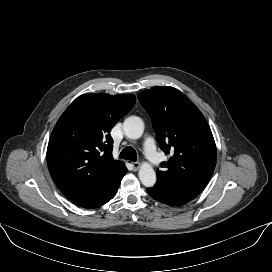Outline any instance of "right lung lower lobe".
I'll return each mask as SVG.
<instances>
[{
    "label": "right lung lower lobe",
    "mask_w": 272,
    "mask_h": 272,
    "mask_svg": "<svg viewBox=\"0 0 272 272\" xmlns=\"http://www.w3.org/2000/svg\"><path fill=\"white\" fill-rule=\"evenodd\" d=\"M126 172L127 168L122 164L115 169L98 188L85 195L69 198V200L74 204L87 209L100 207L115 196Z\"/></svg>",
    "instance_id": "98d812e1"
}]
</instances>
